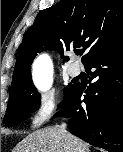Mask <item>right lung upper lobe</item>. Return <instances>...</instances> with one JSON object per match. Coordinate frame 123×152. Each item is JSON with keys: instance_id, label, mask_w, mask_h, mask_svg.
Wrapping results in <instances>:
<instances>
[{"instance_id": "cb5924a9", "label": "right lung upper lobe", "mask_w": 123, "mask_h": 152, "mask_svg": "<svg viewBox=\"0 0 123 152\" xmlns=\"http://www.w3.org/2000/svg\"><path fill=\"white\" fill-rule=\"evenodd\" d=\"M123 38V0H61L44 9L28 29L20 47L10 95L32 83L37 53L82 47L85 65L95 54ZM63 56V55H62ZM64 58V56H63ZM69 58L66 57V60Z\"/></svg>"}]
</instances>
